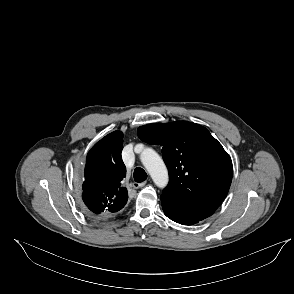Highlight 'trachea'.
Returning <instances> with one entry per match:
<instances>
[{"mask_svg":"<svg viewBox=\"0 0 294 294\" xmlns=\"http://www.w3.org/2000/svg\"><path fill=\"white\" fill-rule=\"evenodd\" d=\"M133 177L136 182L140 183L147 179V174L142 168L137 167L134 170Z\"/></svg>","mask_w":294,"mask_h":294,"instance_id":"trachea-1","label":"trachea"}]
</instances>
